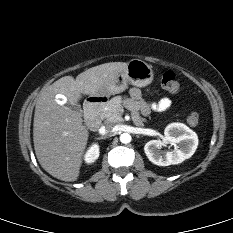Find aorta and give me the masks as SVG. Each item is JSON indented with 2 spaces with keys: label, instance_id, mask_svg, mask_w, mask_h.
I'll list each match as a JSON object with an SVG mask.
<instances>
[{
  "label": "aorta",
  "instance_id": "obj_1",
  "mask_svg": "<svg viewBox=\"0 0 233 233\" xmlns=\"http://www.w3.org/2000/svg\"><path fill=\"white\" fill-rule=\"evenodd\" d=\"M120 141L124 144H127L131 141V135L129 133H122L120 135Z\"/></svg>",
  "mask_w": 233,
  "mask_h": 233
}]
</instances>
